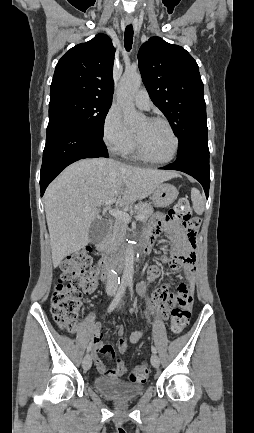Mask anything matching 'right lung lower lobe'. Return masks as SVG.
I'll list each match as a JSON object with an SVG mask.
<instances>
[{
    "label": "right lung lower lobe",
    "mask_w": 254,
    "mask_h": 433,
    "mask_svg": "<svg viewBox=\"0 0 254 433\" xmlns=\"http://www.w3.org/2000/svg\"><path fill=\"white\" fill-rule=\"evenodd\" d=\"M102 137L64 118H49L40 173L41 196L49 183L71 163L84 158H108Z\"/></svg>",
    "instance_id": "1"
}]
</instances>
